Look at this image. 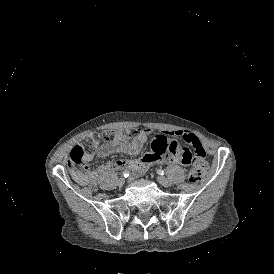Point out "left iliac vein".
Returning a JSON list of instances; mask_svg holds the SVG:
<instances>
[{"instance_id":"1","label":"left iliac vein","mask_w":274,"mask_h":274,"mask_svg":"<svg viewBox=\"0 0 274 274\" xmlns=\"http://www.w3.org/2000/svg\"><path fill=\"white\" fill-rule=\"evenodd\" d=\"M157 180L161 185H163L165 187H168L169 184H170L169 180L166 177H163V176H158Z\"/></svg>"}]
</instances>
